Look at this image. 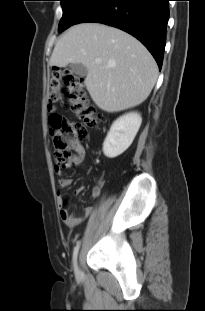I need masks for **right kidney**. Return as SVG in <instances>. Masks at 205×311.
<instances>
[{"mask_svg":"<svg viewBox=\"0 0 205 311\" xmlns=\"http://www.w3.org/2000/svg\"><path fill=\"white\" fill-rule=\"evenodd\" d=\"M142 123L138 113H129L118 118L111 126L103 143V153L108 158L121 155L132 144Z\"/></svg>","mask_w":205,"mask_h":311,"instance_id":"right-kidney-1","label":"right kidney"}]
</instances>
